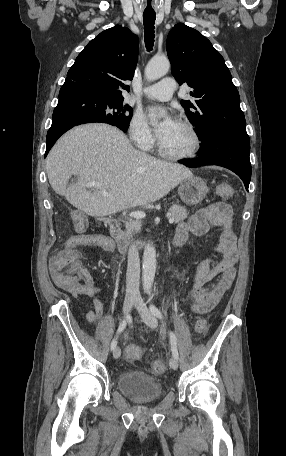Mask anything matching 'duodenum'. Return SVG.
<instances>
[{
  "label": "duodenum",
  "mask_w": 286,
  "mask_h": 456,
  "mask_svg": "<svg viewBox=\"0 0 286 456\" xmlns=\"http://www.w3.org/2000/svg\"><path fill=\"white\" fill-rule=\"evenodd\" d=\"M107 226H108L110 240L113 242V244L115 246H117V248L121 252H123V253L129 252L132 248V245L128 241L125 240V238L122 234V231H121L120 224L116 220L110 219L107 221ZM185 242H186V237L183 236L182 234H176L172 239V244L175 247H181L182 245H184Z\"/></svg>",
  "instance_id": "obj_1"
}]
</instances>
